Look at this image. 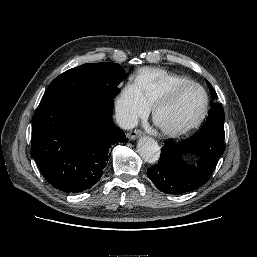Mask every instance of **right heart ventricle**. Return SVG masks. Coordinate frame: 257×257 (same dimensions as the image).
Wrapping results in <instances>:
<instances>
[{
    "instance_id": "1",
    "label": "right heart ventricle",
    "mask_w": 257,
    "mask_h": 257,
    "mask_svg": "<svg viewBox=\"0 0 257 257\" xmlns=\"http://www.w3.org/2000/svg\"><path fill=\"white\" fill-rule=\"evenodd\" d=\"M134 82L141 90L148 105L152 107L171 88L191 82V80L161 68H142L135 74Z\"/></svg>"
}]
</instances>
